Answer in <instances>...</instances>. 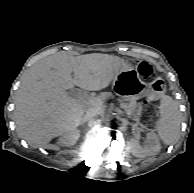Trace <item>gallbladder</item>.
I'll return each instance as SVG.
<instances>
[{"label": "gallbladder", "instance_id": "obj_1", "mask_svg": "<svg viewBox=\"0 0 194 193\" xmlns=\"http://www.w3.org/2000/svg\"><path fill=\"white\" fill-rule=\"evenodd\" d=\"M76 92H77V90L72 89V90L69 91V94L72 95V93H76Z\"/></svg>", "mask_w": 194, "mask_h": 193}]
</instances>
